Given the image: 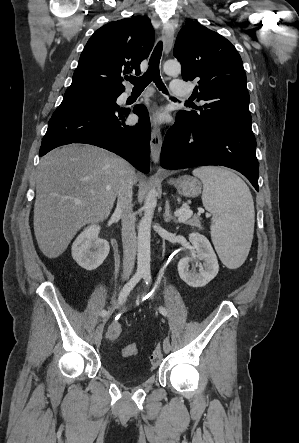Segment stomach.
Listing matches in <instances>:
<instances>
[{"label":"stomach","instance_id":"1","mask_svg":"<svg viewBox=\"0 0 299 443\" xmlns=\"http://www.w3.org/2000/svg\"><path fill=\"white\" fill-rule=\"evenodd\" d=\"M169 183L173 184L177 191L186 197H196L202 190L200 181L191 176H181L176 180L171 179Z\"/></svg>","mask_w":299,"mask_h":443}]
</instances>
